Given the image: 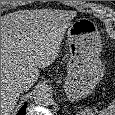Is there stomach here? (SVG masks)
Returning a JSON list of instances; mask_svg holds the SVG:
<instances>
[{
  "mask_svg": "<svg viewBox=\"0 0 115 115\" xmlns=\"http://www.w3.org/2000/svg\"><path fill=\"white\" fill-rule=\"evenodd\" d=\"M67 41L70 58L63 88L68 100L78 102L93 95L104 76V63L99 58L101 40L97 30L93 31L89 24L78 20L69 24Z\"/></svg>",
  "mask_w": 115,
  "mask_h": 115,
  "instance_id": "1",
  "label": "stomach"
}]
</instances>
